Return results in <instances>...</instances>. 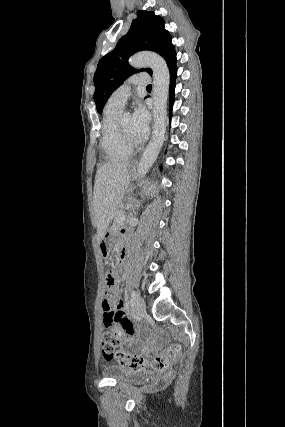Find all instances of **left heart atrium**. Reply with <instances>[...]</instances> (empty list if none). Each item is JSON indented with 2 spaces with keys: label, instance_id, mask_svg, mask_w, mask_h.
Listing matches in <instances>:
<instances>
[{
  "label": "left heart atrium",
  "instance_id": "39dd6f15",
  "mask_svg": "<svg viewBox=\"0 0 285 427\" xmlns=\"http://www.w3.org/2000/svg\"><path fill=\"white\" fill-rule=\"evenodd\" d=\"M150 115L143 105H138L132 115L133 133L137 140L146 137L149 130Z\"/></svg>",
  "mask_w": 285,
  "mask_h": 427
}]
</instances>
